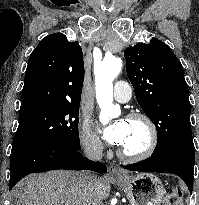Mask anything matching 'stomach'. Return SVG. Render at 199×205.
I'll return each mask as SVG.
<instances>
[{"mask_svg":"<svg viewBox=\"0 0 199 205\" xmlns=\"http://www.w3.org/2000/svg\"><path fill=\"white\" fill-rule=\"evenodd\" d=\"M127 194L131 205H160L166 190L154 174L123 175L115 179Z\"/></svg>","mask_w":199,"mask_h":205,"instance_id":"0dacf381","label":"stomach"}]
</instances>
